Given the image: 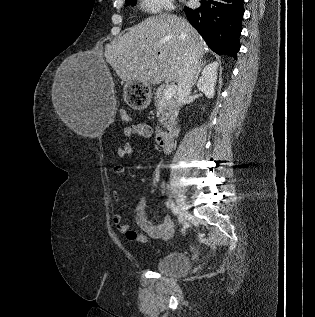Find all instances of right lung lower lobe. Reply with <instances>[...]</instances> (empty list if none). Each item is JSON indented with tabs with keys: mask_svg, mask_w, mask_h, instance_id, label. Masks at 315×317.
<instances>
[{
	"mask_svg": "<svg viewBox=\"0 0 315 317\" xmlns=\"http://www.w3.org/2000/svg\"><path fill=\"white\" fill-rule=\"evenodd\" d=\"M195 9L185 7L186 16L207 45L218 55L236 59L240 49L244 0H200Z\"/></svg>",
	"mask_w": 315,
	"mask_h": 317,
	"instance_id": "1",
	"label": "right lung lower lobe"
}]
</instances>
